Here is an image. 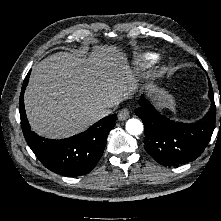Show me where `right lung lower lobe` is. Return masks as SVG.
Listing matches in <instances>:
<instances>
[{
  "instance_id": "98d812e1",
  "label": "right lung lower lobe",
  "mask_w": 221,
  "mask_h": 221,
  "mask_svg": "<svg viewBox=\"0 0 221 221\" xmlns=\"http://www.w3.org/2000/svg\"><path fill=\"white\" fill-rule=\"evenodd\" d=\"M26 76L20 94L19 107L24 137L40 160L51 171L64 176L89 173L97 164L106 146L109 132L115 126L117 116L105 117L87 131L63 140L45 139L31 131L24 110L23 95L29 80Z\"/></svg>"
}]
</instances>
